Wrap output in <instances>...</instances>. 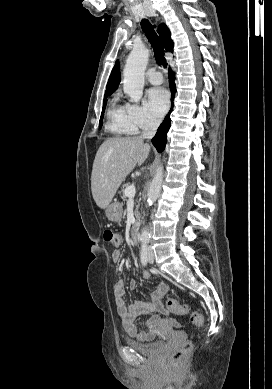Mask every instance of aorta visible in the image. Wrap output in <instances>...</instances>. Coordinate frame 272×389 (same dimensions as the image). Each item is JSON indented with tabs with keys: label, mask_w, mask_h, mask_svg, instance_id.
Segmentation results:
<instances>
[{
	"label": "aorta",
	"mask_w": 272,
	"mask_h": 389,
	"mask_svg": "<svg viewBox=\"0 0 272 389\" xmlns=\"http://www.w3.org/2000/svg\"><path fill=\"white\" fill-rule=\"evenodd\" d=\"M149 59V50L145 47H134L130 52L123 70V89L133 102L138 103L143 95L144 72ZM163 182V166L156 168L155 175L147 193V203L151 206L158 198ZM150 240L148 228H144L140 241L147 243Z\"/></svg>",
	"instance_id": "762f6f07"
}]
</instances>
